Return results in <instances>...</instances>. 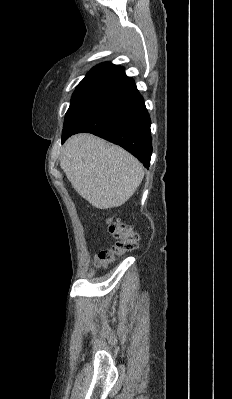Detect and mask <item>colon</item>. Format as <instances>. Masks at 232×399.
<instances>
[{
	"mask_svg": "<svg viewBox=\"0 0 232 399\" xmlns=\"http://www.w3.org/2000/svg\"><path fill=\"white\" fill-rule=\"evenodd\" d=\"M98 222L106 223L108 233H112V250L98 252L96 254L97 264L103 261H112L113 255H116L117 252H120L121 256L128 252H137V232L129 228V223H121L120 218L116 219V225L113 222H107V215L103 214V208H98ZM101 268H106V263H101Z\"/></svg>",
	"mask_w": 232,
	"mask_h": 399,
	"instance_id": "5ec220e1",
	"label": "colon"
}]
</instances>
